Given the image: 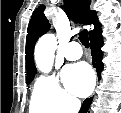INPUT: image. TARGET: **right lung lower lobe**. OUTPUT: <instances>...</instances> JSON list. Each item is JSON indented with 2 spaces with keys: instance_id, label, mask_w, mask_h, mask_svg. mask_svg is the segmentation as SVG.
<instances>
[{
  "instance_id": "obj_1",
  "label": "right lung lower lobe",
  "mask_w": 121,
  "mask_h": 113,
  "mask_svg": "<svg viewBox=\"0 0 121 113\" xmlns=\"http://www.w3.org/2000/svg\"><path fill=\"white\" fill-rule=\"evenodd\" d=\"M101 30L90 36V47L92 51V63L94 68H96L98 79H101V72L103 70V63H102V51L100 50L103 45V37L101 35ZM92 102V98L85 99L80 113H87L89 106Z\"/></svg>"
}]
</instances>
